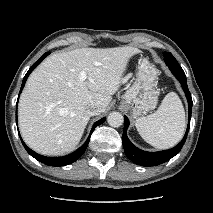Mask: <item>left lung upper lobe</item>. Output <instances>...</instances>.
Masks as SVG:
<instances>
[{
    "mask_svg": "<svg viewBox=\"0 0 213 213\" xmlns=\"http://www.w3.org/2000/svg\"><path fill=\"white\" fill-rule=\"evenodd\" d=\"M164 57L166 65L169 67V69L176 78L178 77L186 78L183 69L170 52L164 53Z\"/></svg>",
    "mask_w": 213,
    "mask_h": 213,
    "instance_id": "obj_1",
    "label": "left lung upper lobe"
}]
</instances>
